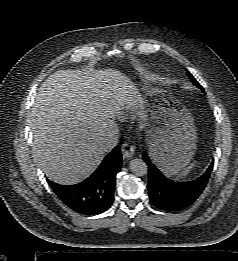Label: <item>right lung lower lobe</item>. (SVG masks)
Masks as SVG:
<instances>
[{
	"instance_id": "obj_1",
	"label": "right lung lower lobe",
	"mask_w": 238,
	"mask_h": 261,
	"mask_svg": "<svg viewBox=\"0 0 238 261\" xmlns=\"http://www.w3.org/2000/svg\"><path fill=\"white\" fill-rule=\"evenodd\" d=\"M121 165L122 155L116 146L84 181L69 186L47 181L59 199L75 212L99 214L106 211L114 201L116 173Z\"/></svg>"
}]
</instances>
